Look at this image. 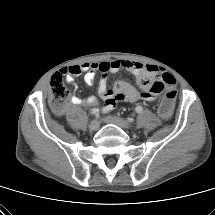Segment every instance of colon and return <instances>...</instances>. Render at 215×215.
Instances as JSON below:
<instances>
[{
	"label": "colon",
	"instance_id": "5ec220e1",
	"mask_svg": "<svg viewBox=\"0 0 215 215\" xmlns=\"http://www.w3.org/2000/svg\"><path fill=\"white\" fill-rule=\"evenodd\" d=\"M175 79L169 73H164L161 76V80L156 81L152 86V91L161 93L164 87L167 88L166 93L158 106V112L162 117L170 116L175 101L176 90L174 89ZM50 92V105L54 112L61 113L65 106L69 95V91L66 88L62 75L56 73L52 76L49 85Z\"/></svg>",
	"mask_w": 215,
	"mask_h": 215
}]
</instances>
